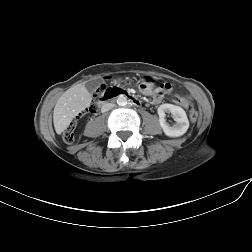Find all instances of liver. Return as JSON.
Instances as JSON below:
<instances>
[{
    "instance_id": "liver-1",
    "label": "liver",
    "mask_w": 252,
    "mask_h": 252,
    "mask_svg": "<svg viewBox=\"0 0 252 252\" xmlns=\"http://www.w3.org/2000/svg\"><path fill=\"white\" fill-rule=\"evenodd\" d=\"M92 96L83 84L72 86L58 99L53 113L54 128L61 134L73 118L88 107Z\"/></svg>"
}]
</instances>
